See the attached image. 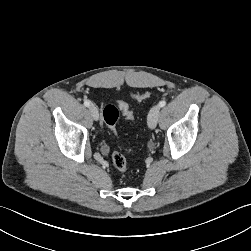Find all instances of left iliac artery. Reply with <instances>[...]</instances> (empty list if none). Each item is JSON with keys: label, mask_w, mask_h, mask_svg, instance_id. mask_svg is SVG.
Listing matches in <instances>:
<instances>
[{"label": "left iliac artery", "mask_w": 251, "mask_h": 251, "mask_svg": "<svg viewBox=\"0 0 251 251\" xmlns=\"http://www.w3.org/2000/svg\"><path fill=\"white\" fill-rule=\"evenodd\" d=\"M166 105V101H161L160 103H159V107H164Z\"/></svg>", "instance_id": "left-iliac-artery-1"}]
</instances>
